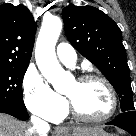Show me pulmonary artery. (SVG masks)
<instances>
[{
    "instance_id": "e3ab8cb5",
    "label": "pulmonary artery",
    "mask_w": 136,
    "mask_h": 136,
    "mask_svg": "<svg viewBox=\"0 0 136 136\" xmlns=\"http://www.w3.org/2000/svg\"><path fill=\"white\" fill-rule=\"evenodd\" d=\"M59 60L67 66L73 67L77 60L74 48L67 43H60L56 49Z\"/></svg>"
}]
</instances>
